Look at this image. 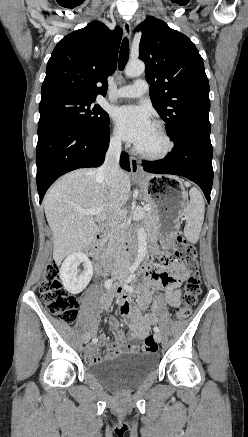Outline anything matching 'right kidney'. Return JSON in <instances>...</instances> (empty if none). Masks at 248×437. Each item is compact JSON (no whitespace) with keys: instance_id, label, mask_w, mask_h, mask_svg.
<instances>
[{"instance_id":"obj_1","label":"right kidney","mask_w":248,"mask_h":437,"mask_svg":"<svg viewBox=\"0 0 248 437\" xmlns=\"http://www.w3.org/2000/svg\"><path fill=\"white\" fill-rule=\"evenodd\" d=\"M81 263L84 266L83 271L78 269ZM59 274L64 288L71 294H78L89 284L93 275V266L84 253L76 252L64 260Z\"/></svg>"}]
</instances>
